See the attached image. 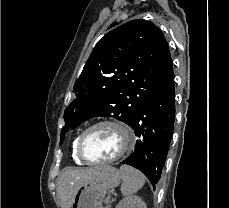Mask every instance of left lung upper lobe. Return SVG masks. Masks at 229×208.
<instances>
[{
  "label": "left lung upper lobe",
  "instance_id": "obj_1",
  "mask_svg": "<svg viewBox=\"0 0 229 208\" xmlns=\"http://www.w3.org/2000/svg\"><path fill=\"white\" fill-rule=\"evenodd\" d=\"M174 81L168 43L150 21H129L104 35L74 85L76 99L65 109L64 133L95 117L130 124L147 100Z\"/></svg>",
  "mask_w": 229,
  "mask_h": 208
}]
</instances>
